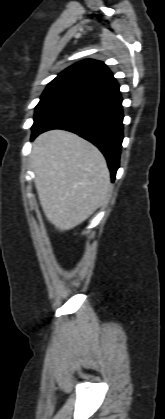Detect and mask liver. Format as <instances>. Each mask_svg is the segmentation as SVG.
I'll list each match as a JSON object with an SVG mask.
<instances>
[{
	"label": "liver",
	"instance_id": "6515ba94",
	"mask_svg": "<svg viewBox=\"0 0 165 419\" xmlns=\"http://www.w3.org/2000/svg\"><path fill=\"white\" fill-rule=\"evenodd\" d=\"M31 165L43 212L60 231L81 224L109 200L106 160L98 148L76 134L51 130L38 136Z\"/></svg>",
	"mask_w": 165,
	"mask_h": 419
}]
</instances>
